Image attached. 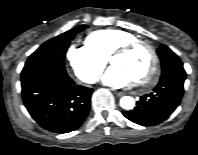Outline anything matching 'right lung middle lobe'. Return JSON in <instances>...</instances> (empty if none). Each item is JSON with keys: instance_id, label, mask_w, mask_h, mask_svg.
<instances>
[{"instance_id": "1", "label": "right lung middle lobe", "mask_w": 198, "mask_h": 155, "mask_svg": "<svg viewBox=\"0 0 198 155\" xmlns=\"http://www.w3.org/2000/svg\"><path fill=\"white\" fill-rule=\"evenodd\" d=\"M87 27L81 25L46 41L30 55L25 65L45 64L65 70L64 59L71 40Z\"/></svg>"}]
</instances>
